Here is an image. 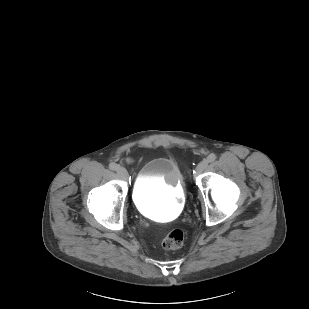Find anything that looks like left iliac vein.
Masks as SVG:
<instances>
[{
    "label": "left iliac vein",
    "instance_id": "left-iliac-vein-1",
    "mask_svg": "<svg viewBox=\"0 0 309 309\" xmlns=\"http://www.w3.org/2000/svg\"><path fill=\"white\" fill-rule=\"evenodd\" d=\"M207 165L208 161L206 159L202 160L196 168V175L202 173L206 169Z\"/></svg>",
    "mask_w": 309,
    "mask_h": 309
}]
</instances>
